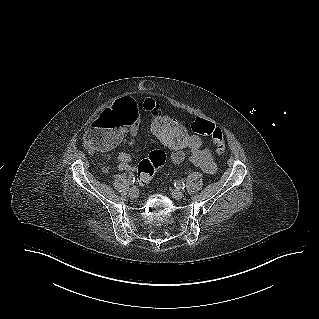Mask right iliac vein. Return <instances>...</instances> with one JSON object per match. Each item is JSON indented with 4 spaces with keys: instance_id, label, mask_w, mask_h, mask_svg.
Segmentation results:
<instances>
[{
    "instance_id": "1",
    "label": "right iliac vein",
    "mask_w": 319,
    "mask_h": 319,
    "mask_svg": "<svg viewBox=\"0 0 319 319\" xmlns=\"http://www.w3.org/2000/svg\"><path fill=\"white\" fill-rule=\"evenodd\" d=\"M139 195V190L136 187H132L129 191L130 198H137Z\"/></svg>"
}]
</instances>
